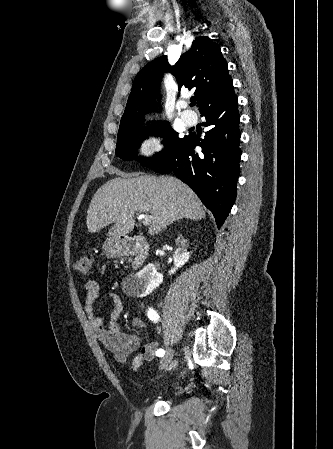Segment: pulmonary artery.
<instances>
[{"label":"pulmonary artery","instance_id":"pulmonary-artery-1","mask_svg":"<svg viewBox=\"0 0 333 449\" xmlns=\"http://www.w3.org/2000/svg\"><path fill=\"white\" fill-rule=\"evenodd\" d=\"M180 117L186 126H193L197 123V117L188 110H184Z\"/></svg>","mask_w":333,"mask_h":449}]
</instances>
